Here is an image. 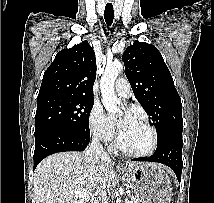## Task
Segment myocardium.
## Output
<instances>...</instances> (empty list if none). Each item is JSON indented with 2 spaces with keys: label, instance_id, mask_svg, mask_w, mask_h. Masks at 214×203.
I'll list each match as a JSON object with an SVG mask.
<instances>
[{
  "label": "myocardium",
  "instance_id": "obj_1",
  "mask_svg": "<svg viewBox=\"0 0 214 203\" xmlns=\"http://www.w3.org/2000/svg\"><path fill=\"white\" fill-rule=\"evenodd\" d=\"M136 120H138L139 122H141L151 133V144L150 147L145 150V151H141V152H134V151H130L126 148H124L121 144L120 141V130L117 133V138H116V148L123 153L126 156L129 157H133V158H144V157H148L151 154H153L155 152V150L157 149L158 146V134L156 129L145 119L142 118H137Z\"/></svg>",
  "mask_w": 214,
  "mask_h": 203
}]
</instances>
